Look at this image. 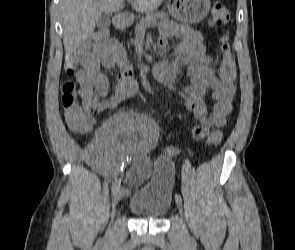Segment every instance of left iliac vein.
Segmentation results:
<instances>
[{"mask_svg": "<svg viewBox=\"0 0 295 250\" xmlns=\"http://www.w3.org/2000/svg\"><path fill=\"white\" fill-rule=\"evenodd\" d=\"M179 211L182 212V204L179 201H176Z\"/></svg>", "mask_w": 295, "mask_h": 250, "instance_id": "left-iliac-vein-1", "label": "left iliac vein"}]
</instances>
